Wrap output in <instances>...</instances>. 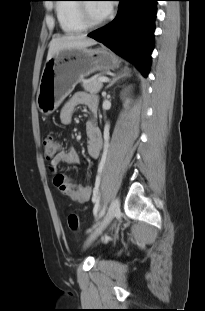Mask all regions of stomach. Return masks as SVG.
Segmentation results:
<instances>
[{
	"label": "stomach",
	"instance_id": "obj_1",
	"mask_svg": "<svg viewBox=\"0 0 205 311\" xmlns=\"http://www.w3.org/2000/svg\"><path fill=\"white\" fill-rule=\"evenodd\" d=\"M118 67L119 60L103 48L60 51L43 68L36 98L38 109L44 115L53 113L82 78Z\"/></svg>",
	"mask_w": 205,
	"mask_h": 311
}]
</instances>
